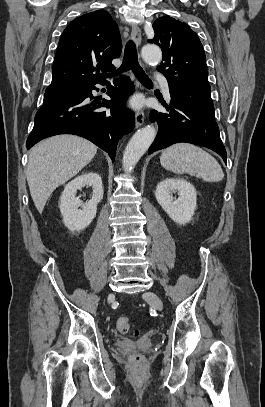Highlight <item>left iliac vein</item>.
<instances>
[{"instance_id": "left-iliac-vein-1", "label": "left iliac vein", "mask_w": 265, "mask_h": 407, "mask_svg": "<svg viewBox=\"0 0 265 407\" xmlns=\"http://www.w3.org/2000/svg\"><path fill=\"white\" fill-rule=\"evenodd\" d=\"M143 298L148 303H150L155 309H157L159 311L163 309V303H162L161 299L154 292L146 291L143 294Z\"/></svg>"}]
</instances>
